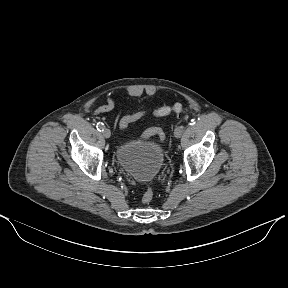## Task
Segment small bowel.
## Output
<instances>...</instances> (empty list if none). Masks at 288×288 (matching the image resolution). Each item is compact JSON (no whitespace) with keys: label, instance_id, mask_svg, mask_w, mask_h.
<instances>
[{"label":"small bowel","instance_id":"c3829d8e","mask_svg":"<svg viewBox=\"0 0 288 288\" xmlns=\"http://www.w3.org/2000/svg\"><path fill=\"white\" fill-rule=\"evenodd\" d=\"M115 108V101L112 97H108L106 102L100 106H97L95 108L96 113H107L112 111ZM121 129H125L124 127L119 124Z\"/></svg>","mask_w":288,"mask_h":288}]
</instances>
